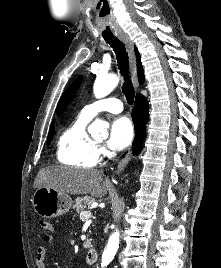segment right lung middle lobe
<instances>
[{
    "mask_svg": "<svg viewBox=\"0 0 221 268\" xmlns=\"http://www.w3.org/2000/svg\"><path fill=\"white\" fill-rule=\"evenodd\" d=\"M53 134H54V128H51L47 137L48 144L51 142Z\"/></svg>",
    "mask_w": 221,
    "mask_h": 268,
    "instance_id": "obj_1",
    "label": "right lung middle lobe"
}]
</instances>
